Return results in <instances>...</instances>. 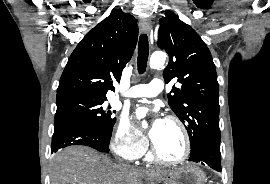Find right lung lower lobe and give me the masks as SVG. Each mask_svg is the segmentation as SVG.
Here are the masks:
<instances>
[{"mask_svg":"<svg viewBox=\"0 0 270 184\" xmlns=\"http://www.w3.org/2000/svg\"><path fill=\"white\" fill-rule=\"evenodd\" d=\"M111 136H107L92 125L72 118L55 120L51 153L71 145H85L100 152L109 151Z\"/></svg>","mask_w":270,"mask_h":184,"instance_id":"right-lung-lower-lobe-1","label":"right lung lower lobe"}]
</instances>
